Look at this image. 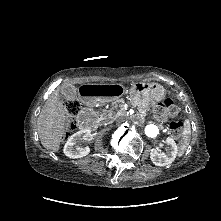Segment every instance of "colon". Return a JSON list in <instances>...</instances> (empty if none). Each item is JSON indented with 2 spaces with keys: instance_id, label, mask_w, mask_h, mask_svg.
<instances>
[{
  "instance_id": "5ec220e1",
  "label": "colon",
  "mask_w": 221,
  "mask_h": 221,
  "mask_svg": "<svg viewBox=\"0 0 221 221\" xmlns=\"http://www.w3.org/2000/svg\"><path fill=\"white\" fill-rule=\"evenodd\" d=\"M69 115L74 116L80 111V103L76 100H68L65 104ZM179 113L177 104L172 99H165L160 102L155 108V115L159 120H166L169 117H176ZM75 128L73 121L67 123V137ZM169 131L173 137H179L183 133V122L180 120H172L169 124Z\"/></svg>"
}]
</instances>
